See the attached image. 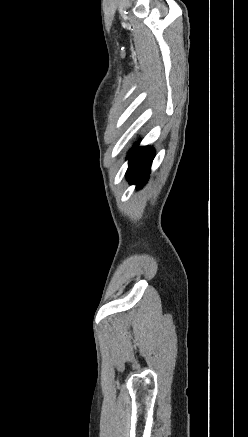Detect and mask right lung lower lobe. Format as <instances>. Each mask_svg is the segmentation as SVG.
I'll return each instance as SVG.
<instances>
[{
  "instance_id": "98d812e1",
  "label": "right lung lower lobe",
  "mask_w": 248,
  "mask_h": 437,
  "mask_svg": "<svg viewBox=\"0 0 248 437\" xmlns=\"http://www.w3.org/2000/svg\"><path fill=\"white\" fill-rule=\"evenodd\" d=\"M155 152L151 147H138V144L129 152V167L126 178L130 184L141 188L147 181Z\"/></svg>"
}]
</instances>
